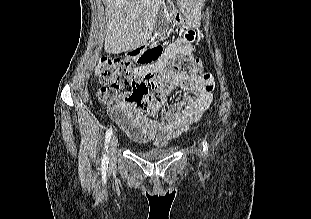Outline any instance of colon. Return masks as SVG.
Returning <instances> with one entry per match:
<instances>
[{"label": "colon", "mask_w": 311, "mask_h": 219, "mask_svg": "<svg viewBox=\"0 0 311 219\" xmlns=\"http://www.w3.org/2000/svg\"><path fill=\"white\" fill-rule=\"evenodd\" d=\"M186 39L189 37L186 36ZM158 54L159 52H156L152 59ZM201 66L200 59L196 57L190 55L174 57L169 70L176 75L175 82L161 86L160 90L151 95L150 89L158 87V83H154L152 77L140 76L129 60L102 56L95 68V75L103 84L97 95L115 115H119L117 109L119 104L125 103L137 107L142 115L155 118L166 105L168 97L185 86L188 76L198 72Z\"/></svg>", "instance_id": "colon-1"}]
</instances>
